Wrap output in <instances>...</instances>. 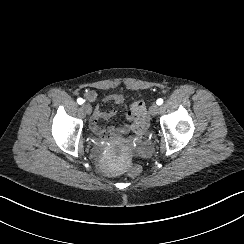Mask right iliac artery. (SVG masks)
I'll list each match as a JSON object with an SVG mask.
<instances>
[{
    "label": "right iliac artery",
    "mask_w": 244,
    "mask_h": 244,
    "mask_svg": "<svg viewBox=\"0 0 244 244\" xmlns=\"http://www.w3.org/2000/svg\"><path fill=\"white\" fill-rule=\"evenodd\" d=\"M77 102H78V104H80V105H81V104H83V103H84V100H83L82 98H78V99H77Z\"/></svg>",
    "instance_id": "1"
}]
</instances>
